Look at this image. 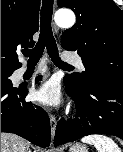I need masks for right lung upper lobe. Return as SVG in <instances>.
<instances>
[{"label": "right lung upper lobe", "instance_id": "right-lung-upper-lobe-1", "mask_svg": "<svg viewBox=\"0 0 123 152\" xmlns=\"http://www.w3.org/2000/svg\"><path fill=\"white\" fill-rule=\"evenodd\" d=\"M40 0H1V68L18 69L16 50L33 47Z\"/></svg>", "mask_w": 123, "mask_h": 152}]
</instances>
